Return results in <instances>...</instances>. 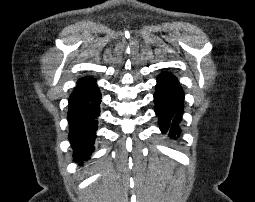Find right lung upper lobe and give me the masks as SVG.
<instances>
[{
	"instance_id": "cb5924a9",
	"label": "right lung upper lobe",
	"mask_w": 255,
	"mask_h": 202,
	"mask_svg": "<svg viewBox=\"0 0 255 202\" xmlns=\"http://www.w3.org/2000/svg\"><path fill=\"white\" fill-rule=\"evenodd\" d=\"M91 79H93V78H92V77L82 78V79H80V80L78 81V83H79V82H83V81H88V80H91Z\"/></svg>"
}]
</instances>
